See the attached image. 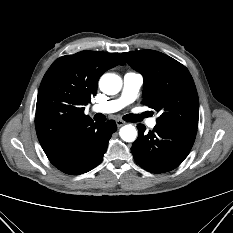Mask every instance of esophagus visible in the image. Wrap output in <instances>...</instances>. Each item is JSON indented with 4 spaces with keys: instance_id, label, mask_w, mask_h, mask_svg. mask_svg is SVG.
<instances>
[{
    "instance_id": "esophagus-1",
    "label": "esophagus",
    "mask_w": 233,
    "mask_h": 233,
    "mask_svg": "<svg viewBox=\"0 0 233 233\" xmlns=\"http://www.w3.org/2000/svg\"><path fill=\"white\" fill-rule=\"evenodd\" d=\"M125 124V122L123 121V120H120V119H117L116 120V125H117V127H121V126H123Z\"/></svg>"
}]
</instances>
